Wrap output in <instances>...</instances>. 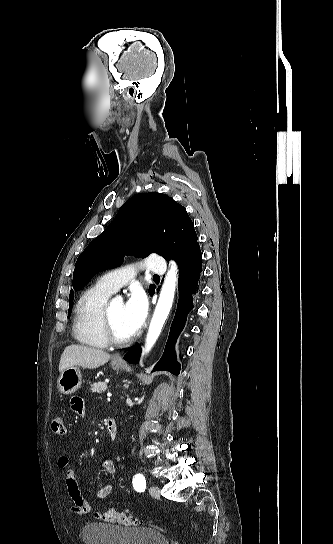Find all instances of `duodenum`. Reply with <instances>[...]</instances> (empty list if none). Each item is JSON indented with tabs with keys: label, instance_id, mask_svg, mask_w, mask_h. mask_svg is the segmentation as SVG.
Returning <instances> with one entry per match:
<instances>
[{
	"label": "duodenum",
	"instance_id": "obj_1",
	"mask_svg": "<svg viewBox=\"0 0 333 544\" xmlns=\"http://www.w3.org/2000/svg\"><path fill=\"white\" fill-rule=\"evenodd\" d=\"M106 428H107V435H108V439L109 440H114V438L116 437V433H117V428H116V423L114 420L110 419L107 421L106 423Z\"/></svg>",
	"mask_w": 333,
	"mask_h": 544
}]
</instances>
